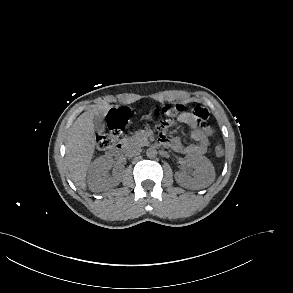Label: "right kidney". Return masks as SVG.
Returning <instances> with one entry per match:
<instances>
[{"label":"right kidney","instance_id":"obj_1","mask_svg":"<svg viewBox=\"0 0 293 293\" xmlns=\"http://www.w3.org/2000/svg\"><path fill=\"white\" fill-rule=\"evenodd\" d=\"M112 167V160L108 157L101 156L94 160L88 172V185L92 191L100 189L104 185L116 186L122 178V169H116L113 175H107Z\"/></svg>","mask_w":293,"mask_h":293}]
</instances>
